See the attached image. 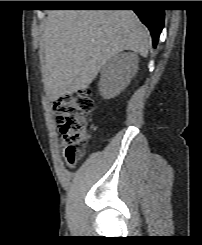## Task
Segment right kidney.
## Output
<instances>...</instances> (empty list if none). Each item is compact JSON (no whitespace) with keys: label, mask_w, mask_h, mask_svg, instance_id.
Returning a JSON list of instances; mask_svg holds the SVG:
<instances>
[{"label":"right kidney","mask_w":202,"mask_h":245,"mask_svg":"<svg viewBox=\"0 0 202 245\" xmlns=\"http://www.w3.org/2000/svg\"><path fill=\"white\" fill-rule=\"evenodd\" d=\"M134 53H121L109 59L101 70L99 90L105 99L114 98L129 84L138 69Z\"/></svg>","instance_id":"right-kidney-1"}]
</instances>
